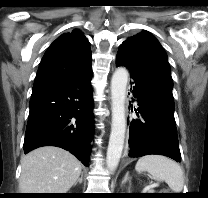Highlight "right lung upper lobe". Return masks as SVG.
<instances>
[{"label": "right lung upper lobe", "instance_id": "1", "mask_svg": "<svg viewBox=\"0 0 208 198\" xmlns=\"http://www.w3.org/2000/svg\"><path fill=\"white\" fill-rule=\"evenodd\" d=\"M89 41L80 30L58 37L44 54L32 94L67 85L91 70Z\"/></svg>", "mask_w": 208, "mask_h": 198}]
</instances>
